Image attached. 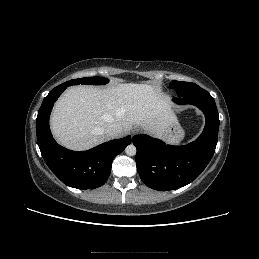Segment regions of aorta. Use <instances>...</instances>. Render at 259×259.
<instances>
[{
    "instance_id": "762f6f07",
    "label": "aorta",
    "mask_w": 259,
    "mask_h": 259,
    "mask_svg": "<svg viewBox=\"0 0 259 259\" xmlns=\"http://www.w3.org/2000/svg\"><path fill=\"white\" fill-rule=\"evenodd\" d=\"M125 152L129 156H134L136 154V147L133 144H130L126 147Z\"/></svg>"
}]
</instances>
